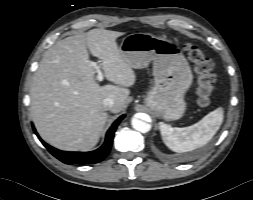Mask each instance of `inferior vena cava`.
<instances>
[{"instance_id":"inferior-vena-cava-1","label":"inferior vena cava","mask_w":253,"mask_h":200,"mask_svg":"<svg viewBox=\"0 0 253 200\" xmlns=\"http://www.w3.org/2000/svg\"><path fill=\"white\" fill-rule=\"evenodd\" d=\"M114 106V100L112 98H106L103 100V107L105 110H111Z\"/></svg>"}]
</instances>
